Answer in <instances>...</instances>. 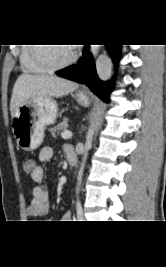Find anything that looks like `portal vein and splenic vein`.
<instances>
[{"label":"portal vein and splenic vein","mask_w":166,"mask_h":267,"mask_svg":"<svg viewBox=\"0 0 166 267\" xmlns=\"http://www.w3.org/2000/svg\"><path fill=\"white\" fill-rule=\"evenodd\" d=\"M61 137H62L63 139H69V138L72 137V132H70V131H63V132L61 133Z\"/></svg>","instance_id":"1"}]
</instances>
